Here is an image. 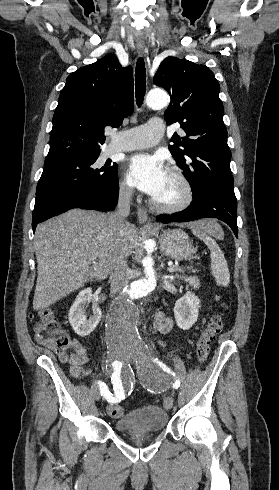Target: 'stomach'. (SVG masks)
<instances>
[{
	"label": "stomach",
	"instance_id": "0dacf381",
	"mask_svg": "<svg viewBox=\"0 0 279 490\" xmlns=\"http://www.w3.org/2000/svg\"><path fill=\"white\" fill-rule=\"evenodd\" d=\"M159 226L161 230V224ZM159 240L162 252L171 260H178V262L191 260L195 252L189 236L183 230H164Z\"/></svg>",
	"mask_w": 279,
	"mask_h": 490
}]
</instances>
